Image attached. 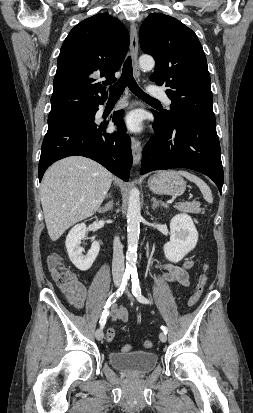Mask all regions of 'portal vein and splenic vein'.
<instances>
[{
  "label": "portal vein and splenic vein",
  "instance_id": "18ae733b",
  "mask_svg": "<svg viewBox=\"0 0 253 413\" xmlns=\"http://www.w3.org/2000/svg\"><path fill=\"white\" fill-rule=\"evenodd\" d=\"M174 201V199H171L170 201H168L169 203H172Z\"/></svg>",
  "mask_w": 253,
  "mask_h": 413
}]
</instances>
